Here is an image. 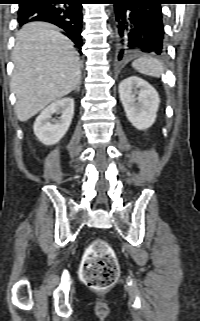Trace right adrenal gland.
Listing matches in <instances>:
<instances>
[{
    "mask_svg": "<svg viewBox=\"0 0 200 321\" xmlns=\"http://www.w3.org/2000/svg\"><path fill=\"white\" fill-rule=\"evenodd\" d=\"M80 85H81V82L77 85V87L74 89V91L79 92L80 91Z\"/></svg>",
    "mask_w": 200,
    "mask_h": 321,
    "instance_id": "right-adrenal-gland-1",
    "label": "right adrenal gland"
}]
</instances>
